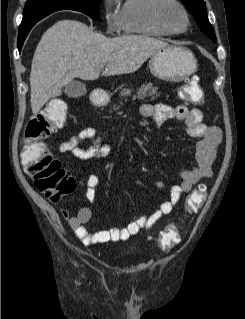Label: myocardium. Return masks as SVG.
<instances>
[{
	"instance_id": "obj_1",
	"label": "myocardium",
	"mask_w": 245,
	"mask_h": 319,
	"mask_svg": "<svg viewBox=\"0 0 245 319\" xmlns=\"http://www.w3.org/2000/svg\"><path fill=\"white\" fill-rule=\"evenodd\" d=\"M172 8L179 11L183 16L184 26L180 29L175 28L169 21L168 11ZM152 13L155 21L170 34L184 33L190 25L189 14L178 0H157L152 7Z\"/></svg>"
}]
</instances>
